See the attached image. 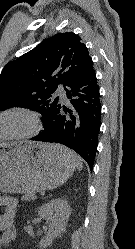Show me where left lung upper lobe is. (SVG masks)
Here are the masks:
<instances>
[{
    "label": "left lung upper lobe",
    "mask_w": 135,
    "mask_h": 249,
    "mask_svg": "<svg viewBox=\"0 0 135 249\" xmlns=\"http://www.w3.org/2000/svg\"><path fill=\"white\" fill-rule=\"evenodd\" d=\"M87 47L73 32L57 33L33 50L6 64L0 74V111L23 106L43 115L57 105L54 93L92 66Z\"/></svg>",
    "instance_id": "5c2ea615"
}]
</instances>
